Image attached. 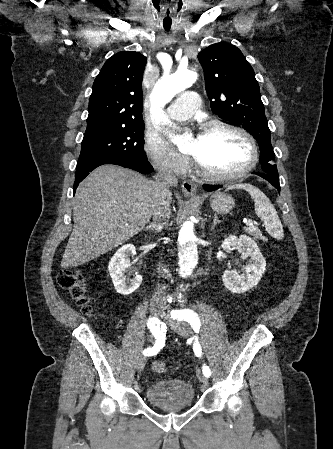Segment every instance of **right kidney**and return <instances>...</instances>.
<instances>
[{
  "label": "right kidney",
  "mask_w": 333,
  "mask_h": 449,
  "mask_svg": "<svg viewBox=\"0 0 333 449\" xmlns=\"http://www.w3.org/2000/svg\"><path fill=\"white\" fill-rule=\"evenodd\" d=\"M136 254L135 246L127 244L118 249L109 262V273L117 293L129 295L139 288L142 275L136 274L133 278L126 276L130 267V257Z\"/></svg>",
  "instance_id": "1"
}]
</instances>
